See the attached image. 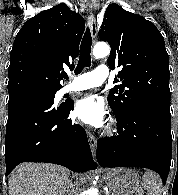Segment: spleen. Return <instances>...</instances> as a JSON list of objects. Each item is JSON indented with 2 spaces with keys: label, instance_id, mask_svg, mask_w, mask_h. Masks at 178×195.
<instances>
[{
  "label": "spleen",
  "instance_id": "3e777b00",
  "mask_svg": "<svg viewBox=\"0 0 178 195\" xmlns=\"http://www.w3.org/2000/svg\"><path fill=\"white\" fill-rule=\"evenodd\" d=\"M141 184L148 192V195H161L162 182L156 173L147 171L142 178Z\"/></svg>",
  "mask_w": 178,
  "mask_h": 195
}]
</instances>
